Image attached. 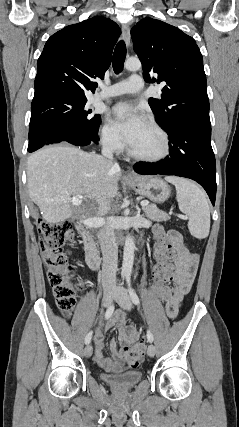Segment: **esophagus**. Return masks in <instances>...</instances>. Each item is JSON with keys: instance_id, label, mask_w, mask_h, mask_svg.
<instances>
[{"instance_id": "esophagus-1", "label": "esophagus", "mask_w": 239, "mask_h": 427, "mask_svg": "<svg viewBox=\"0 0 239 427\" xmlns=\"http://www.w3.org/2000/svg\"><path fill=\"white\" fill-rule=\"evenodd\" d=\"M122 34H123V38H124L126 45L129 46L130 45V27L128 24H124L122 26ZM125 178L126 179H134L135 176L132 173L127 172L125 174Z\"/></svg>"}]
</instances>
